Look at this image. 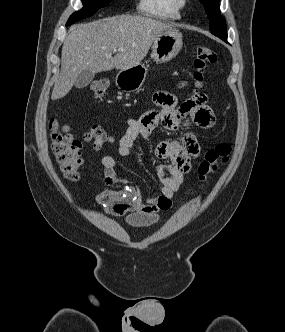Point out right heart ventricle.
<instances>
[{"label":"right heart ventricle","instance_id":"e07e8e85","mask_svg":"<svg viewBox=\"0 0 285 332\" xmlns=\"http://www.w3.org/2000/svg\"><path fill=\"white\" fill-rule=\"evenodd\" d=\"M137 10L144 16L159 20H178L181 16L173 0H139Z\"/></svg>","mask_w":285,"mask_h":332}]
</instances>
